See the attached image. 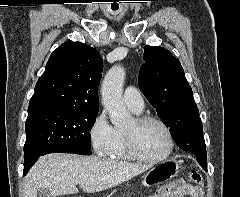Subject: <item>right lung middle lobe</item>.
Listing matches in <instances>:
<instances>
[{
	"instance_id": "right-lung-middle-lobe-1",
	"label": "right lung middle lobe",
	"mask_w": 240,
	"mask_h": 197,
	"mask_svg": "<svg viewBox=\"0 0 240 197\" xmlns=\"http://www.w3.org/2000/svg\"><path fill=\"white\" fill-rule=\"evenodd\" d=\"M98 110L28 112L24 163L49 153L91 154L90 133Z\"/></svg>"
}]
</instances>
